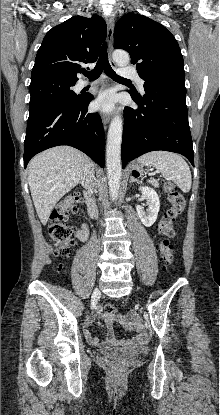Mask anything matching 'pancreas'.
Returning a JSON list of instances; mask_svg holds the SVG:
<instances>
[{"label": "pancreas", "mask_w": 220, "mask_h": 415, "mask_svg": "<svg viewBox=\"0 0 220 415\" xmlns=\"http://www.w3.org/2000/svg\"><path fill=\"white\" fill-rule=\"evenodd\" d=\"M149 183H151L154 187H156V188H158L159 187V183H158V181L157 180H154V179H152V180H150L149 181Z\"/></svg>", "instance_id": "cf45deb5"}]
</instances>
